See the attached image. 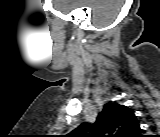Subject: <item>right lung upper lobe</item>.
I'll return each mask as SVG.
<instances>
[{"label":"right lung upper lobe","instance_id":"1","mask_svg":"<svg viewBox=\"0 0 160 137\" xmlns=\"http://www.w3.org/2000/svg\"><path fill=\"white\" fill-rule=\"evenodd\" d=\"M87 131L92 132L95 137L105 133L113 137H138L141 133L134 112L117 103H107L94 124L82 123L74 130L80 136H86Z\"/></svg>","mask_w":160,"mask_h":137}]
</instances>
